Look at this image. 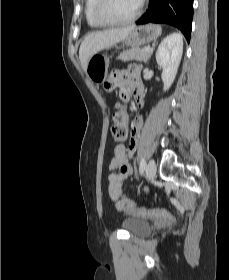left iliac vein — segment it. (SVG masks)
I'll return each mask as SVG.
<instances>
[{
	"mask_svg": "<svg viewBox=\"0 0 229 280\" xmlns=\"http://www.w3.org/2000/svg\"><path fill=\"white\" fill-rule=\"evenodd\" d=\"M156 170H157L156 163L153 159H151L148 163V166H147L148 177L149 178H154V176L156 174Z\"/></svg>",
	"mask_w": 229,
	"mask_h": 280,
	"instance_id": "4c4485c4",
	"label": "left iliac vein"
}]
</instances>
